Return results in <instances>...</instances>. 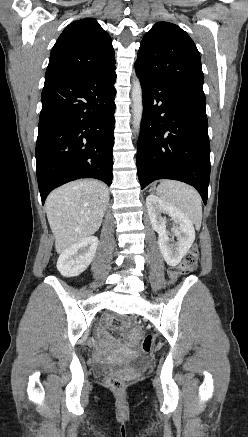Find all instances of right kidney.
Segmentation results:
<instances>
[{
	"label": "right kidney",
	"instance_id": "right-kidney-1",
	"mask_svg": "<svg viewBox=\"0 0 248 437\" xmlns=\"http://www.w3.org/2000/svg\"><path fill=\"white\" fill-rule=\"evenodd\" d=\"M98 246V238L90 236L62 252L57 261V269L64 277H74L83 273L92 262Z\"/></svg>",
	"mask_w": 248,
	"mask_h": 437
}]
</instances>
